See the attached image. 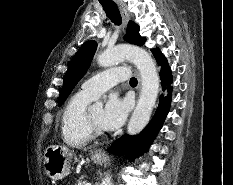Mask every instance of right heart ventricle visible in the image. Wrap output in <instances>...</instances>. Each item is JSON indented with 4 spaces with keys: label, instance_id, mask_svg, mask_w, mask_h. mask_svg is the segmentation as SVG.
Here are the masks:
<instances>
[{
    "label": "right heart ventricle",
    "instance_id": "right-heart-ventricle-1",
    "mask_svg": "<svg viewBox=\"0 0 233 185\" xmlns=\"http://www.w3.org/2000/svg\"><path fill=\"white\" fill-rule=\"evenodd\" d=\"M92 99L78 92L67 102L61 116L63 141L70 147L87 145L92 136L86 124V109Z\"/></svg>",
    "mask_w": 233,
    "mask_h": 185
}]
</instances>
